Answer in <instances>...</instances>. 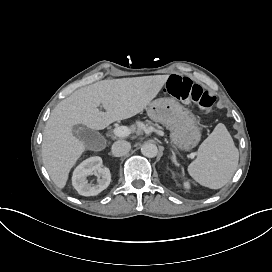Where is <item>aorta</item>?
I'll use <instances>...</instances> for the list:
<instances>
[{
	"label": "aorta",
	"instance_id": "1",
	"mask_svg": "<svg viewBox=\"0 0 272 272\" xmlns=\"http://www.w3.org/2000/svg\"><path fill=\"white\" fill-rule=\"evenodd\" d=\"M141 153L148 158H153L157 156L158 148L155 144L145 143L141 147Z\"/></svg>",
	"mask_w": 272,
	"mask_h": 272
}]
</instances>
